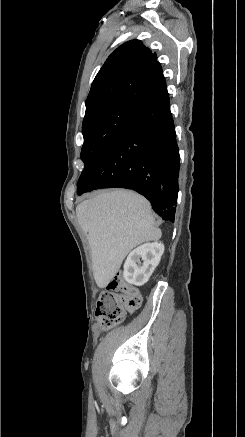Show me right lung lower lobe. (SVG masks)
Returning a JSON list of instances; mask_svg holds the SVG:
<instances>
[{
  "label": "right lung lower lobe",
  "mask_w": 245,
  "mask_h": 437,
  "mask_svg": "<svg viewBox=\"0 0 245 437\" xmlns=\"http://www.w3.org/2000/svg\"><path fill=\"white\" fill-rule=\"evenodd\" d=\"M179 169V148L168 97L139 109L78 186L77 193L99 188L132 189L145 196L164 220L174 222Z\"/></svg>",
  "instance_id": "98d812e1"
}]
</instances>
